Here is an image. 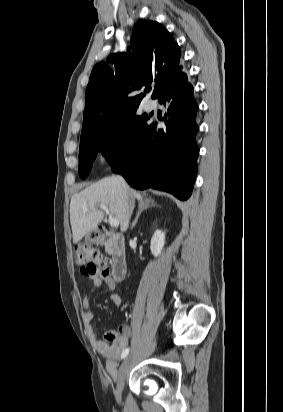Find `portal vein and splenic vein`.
Returning a JSON list of instances; mask_svg holds the SVG:
<instances>
[{"label":"portal vein and splenic vein","mask_w":283,"mask_h":412,"mask_svg":"<svg viewBox=\"0 0 283 412\" xmlns=\"http://www.w3.org/2000/svg\"><path fill=\"white\" fill-rule=\"evenodd\" d=\"M100 209L105 211L106 214L110 215V212H109V209H108L107 206L102 205V206H100ZM83 211L88 212V209L84 208ZM109 224L111 225V227H118L119 226V221L117 219L109 217Z\"/></svg>","instance_id":"obj_1"}]
</instances>
